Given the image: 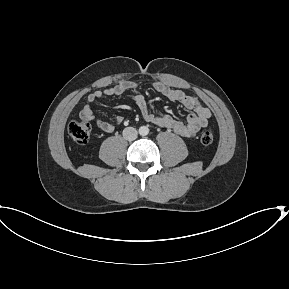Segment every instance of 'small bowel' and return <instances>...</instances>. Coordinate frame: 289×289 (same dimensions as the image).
<instances>
[{"mask_svg": "<svg viewBox=\"0 0 289 289\" xmlns=\"http://www.w3.org/2000/svg\"><path fill=\"white\" fill-rule=\"evenodd\" d=\"M153 89L169 100L177 102L191 110L186 121L177 120L169 115L154 114L150 110L145 97L139 92L138 84L130 80H123L115 86L97 90L89 94L85 105L80 110V117L84 120L93 121L97 127L104 132L112 133L116 126L124 122V118L122 116H117L112 123L96 119L93 115L91 104L109 96H119L124 93H129L145 121L153 123L161 128L172 130L182 137H194L200 129L208 125L211 111L194 95L185 93L179 89L171 88L161 82L154 83Z\"/></svg>", "mask_w": 289, "mask_h": 289, "instance_id": "small-bowel-1", "label": "small bowel"}]
</instances>
